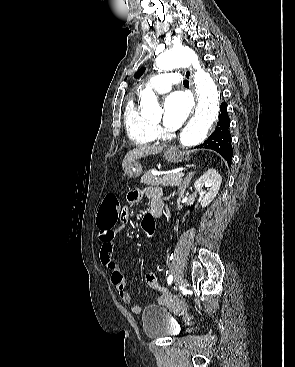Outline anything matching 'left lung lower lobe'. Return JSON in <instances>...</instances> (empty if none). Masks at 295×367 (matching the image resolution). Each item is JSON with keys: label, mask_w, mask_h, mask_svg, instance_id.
Returning a JSON list of instances; mask_svg holds the SVG:
<instances>
[{"label": "left lung lower lobe", "mask_w": 295, "mask_h": 367, "mask_svg": "<svg viewBox=\"0 0 295 367\" xmlns=\"http://www.w3.org/2000/svg\"><path fill=\"white\" fill-rule=\"evenodd\" d=\"M230 120L227 114V104L222 103L220 107L219 122L214 132L197 148L211 149L218 152L231 165L233 149L231 146V135L229 132Z\"/></svg>", "instance_id": "0a47b994"}]
</instances>
